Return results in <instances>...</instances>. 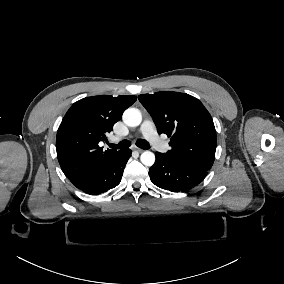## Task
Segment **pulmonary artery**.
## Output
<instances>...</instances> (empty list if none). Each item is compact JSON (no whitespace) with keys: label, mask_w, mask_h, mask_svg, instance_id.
Returning <instances> with one entry per match:
<instances>
[{"label":"pulmonary artery","mask_w":284,"mask_h":284,"mask_svg":"<svg viewBox=\"0 0 284 284\" xmlns=\"http://www.w3.org/2000/svg\"><path fill=\"white\" fill-rule=\"evenodd\" d=\"M139 131L145 136L146 141L158 151L165 153L169 150V142L155 132L156 124L152 120H145Z\"/></svg>","instance_id":"obj_1"}]
</instances>
